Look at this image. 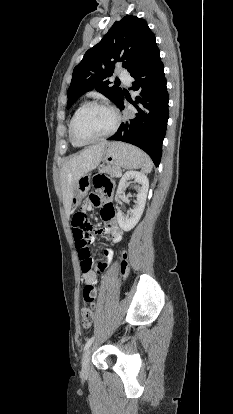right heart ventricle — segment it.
<instances>
[{"mask_svg":"<svg viewBox=\"0 0 233 414\" xmlns=\"http://www.w3.org/2000/svg\"><path fill=\"white\" fill-rule=\"evenodd\" d=\"M83 106V104H81V105H79L76 109H75V111L73 112V114H72V116H71V119H70V122H69V128H70V124H71V120H72V118H73V116L75 115V113L81 108ZM70 141H71V143H72V145L73 146H75V147H78V146H82V145H78V144H76V143H74L71 139H70Z\"/></svg>","mask_w":233,"mask_h":414,"instance_id":"obj_1","label":"right heart ventricle"}]
</instances>
